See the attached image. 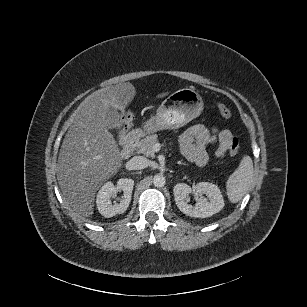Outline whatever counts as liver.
Here are the masks:
<instances>
[{
    "mask_svg": "<svg viewBox=\"0 0 307 307\" xmlns=\"http://www.w3.org/2000/svg\"><path fill=\"white\" fill-rule=\"evenodd\" d=\"M134 93L129 82L95 91L80 104L63 140L58 182L69 205L83 216L92 214L95 191L121 164L118 145L108 128L119 124L117 109Z\"/></svg>",
    "mask_w": 307,
    "mask_h": 307,
    "instance_id": "6515ba94",
    "label": "liver"
}]
</instances>
